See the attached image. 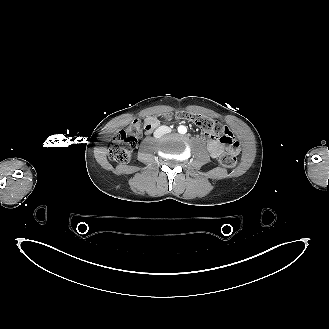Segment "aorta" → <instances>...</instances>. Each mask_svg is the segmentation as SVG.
<instances>
[{
  "instance_id": "1",
  "label": "aorta",
  "mask_w": 329,
  "mask_h": 329,
  "mask_svg": "<svg viewBox=\"0 0 329 329\" xmlns=\"http://www.w3.org/2000/svg\"><path fill=\"white\" fill-rule=\"evenodd\" d=\"M178 132L180 134H185L187 132V128L185 126L181 125L178 127Z\"/></svg>"
}]
</instances>
